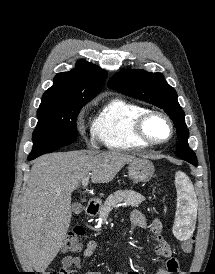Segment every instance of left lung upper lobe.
<instances>
[{
	"label": "left lung upper lobe",
	"instance_id": "1",
	"mask_svg": "<svg viewBox=\"0 0 215 274\" xmlns=\"http://www.w3.org/2000/svg\"><path fill=\"white\" fill-rule=\"evenodd\" d=\"M108 86L163 109L174 121L177 129L176 156L185 161L197 162L195 153L188 146L189 130L185 123L184 111L177 100V93L167 84L161 73L124 70L115 74L109 80Z\"/></svg>",
	"mask_w": 215,
	"mask_h": 274
}]
</instances>
